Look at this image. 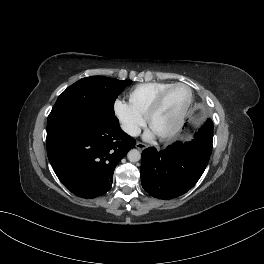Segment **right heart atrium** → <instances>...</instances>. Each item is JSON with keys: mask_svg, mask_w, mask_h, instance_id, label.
I'll return each instance as SVG.
<instances>
[{"mask_svg": "<svg viewBox=\"0 0 264 264\" xmlns=\"http://www.w3.org/2000/svg\"><path fill=\"white\" fill-rule=\"evenodd\" d=\"M114 111L123 131L130 136L137 135L143 125L142 116L134 111L128 103L121 100L115 101Z\"/></svg>", "mask_w": 264, "mask_h": 264, "instance_id": "right-heart-atrium-1", "label": "right heart atrium"}]
</instances>
